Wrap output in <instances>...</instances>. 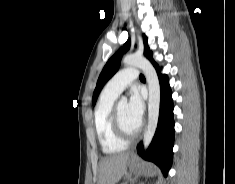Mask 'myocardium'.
<instances>
[{
    "mask_svg": "<svg viewBox=\"0 0 235 184\" xmlns=\"http://www.w3.org/2000/svg\"><path fill=\"white\" fill-rule=\"evenodd\" d=\"M112 125L116 135L125 142L136 141L140 138L143 131V127L140 126L134 134H128L122 127L117 106H114L112 110Z\"/></svg>",
    "mask_w": 235,
    "mask_h": 184,
    "instance_id": "1",
    "label": "myocardium"
}]
</instances>
